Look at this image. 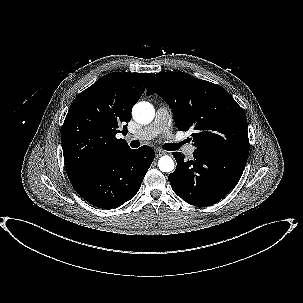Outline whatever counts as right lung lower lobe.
Segmentation results:
<instances>
[{"mask_svg":"<svg viewBox=\"0 0 303 303\" xmlns=\"http://www.w3.org/2000/svg\"><path fill=\"white\" fill-rule=\"evenodd\" d=\"M153 160L152 148L131 149L71 183L93 206L115 209L136 195Z\"/></svg>","mask_w":303,"mask_h":303,"instance_id":"obj_1","label":"right lung lower lobe"}]
</instances>
